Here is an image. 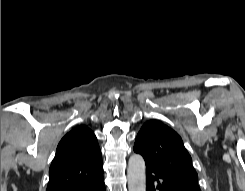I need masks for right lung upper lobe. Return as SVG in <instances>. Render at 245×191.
<instances>
[{"mask_svg": "<svg viewBox=\"0 0 245 191\" xmlns=\"http://www.w3.org/2000/svg\"><path fill=\"white\" fill-rule=\"evenodd\" d=\"M103 173L102 155L94 133L81 125L59 142L49 169L47 191L68 188Z\"/></svg>", "mask_w": 245, "mask_h": 191, "instance_id": "1", "label": "right lung upper lobe"}]
</instances>
